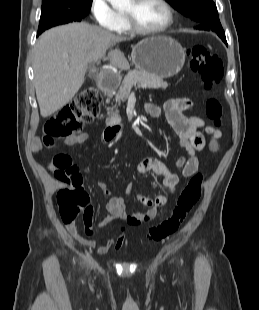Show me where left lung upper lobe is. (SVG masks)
<instances>
[{"mask_svg": "<svg viewBox=\"0 0 259 310\" xmlns=\"http://www.w3.org/2000/svg\"><path fill=\"white\" fill-rule=\"evenodd\" d=\"M183 15L203 25L199 29L213 30L218 35H225L221 26L215 3L212 0H166Z\"/></svg>", "mask_w": 259, "mask_h": 310, "instance_id": "left-lung-upper-lobe-1", "label": "left lung upper lobe"}]
</instances>
